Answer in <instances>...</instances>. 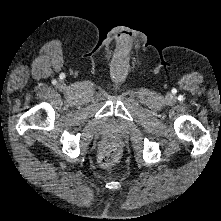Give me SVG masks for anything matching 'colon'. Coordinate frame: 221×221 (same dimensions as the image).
Returning <instances> with one entry per match:
<instances>
[{
  "instance_id": "colon-1",
  "label": "colon",
  "mask_w": 221,
  "mask_h": 221,
  "mask_svg": "<svg viewBox=\"0 0 221 221\" xmlns=\"http://www.w3.org/2000/svg\"><path fill=\"white\" fill-rule=\"evenodd\" d=\"M120 157V147L117 143H110L103 147L99 154V164L102 167L114 165Z\"/></svg>"
}]
</instances>
